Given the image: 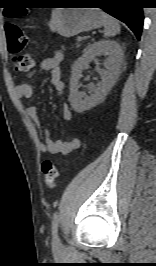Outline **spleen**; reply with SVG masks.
I'll return each instance as SVG.
<instances>
[{
    "mask_svg": "<svg viewBox=\"0 0 156 266\" xmlns=\"http://www.w3.org/2000/svg\"><path fill=\"white\" fill-rule=\"evenodd\" d=\"M104 21V37H113L120 32V25L112 16L101 12Z\"/></svg>",
    "mask_w": 156,
    "mask_h": 266,
    "instance_id": "spleen-1",
    "label": "spleen"
}]
</instances>
